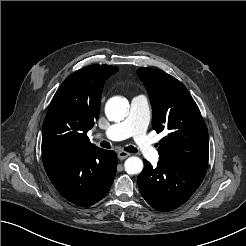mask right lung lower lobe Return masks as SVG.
<instances>
[{"instance_id":"obj_1","label":"right lung lower lobe","mask_w":246,"mask_h":246,"mask_svg":"<svg viewBox=\"0 0 246 246\" xmlns=\"http://www.w3.org/2000/svg\"><path fill=\"white\" fill-rule=\"evenodd\" d=\"M44 163L58 192L79 206H91L108 193L114 180L117 156L101 148L59 155Z\"/></svg>"}]
</instances>
